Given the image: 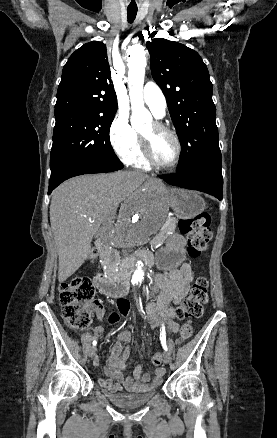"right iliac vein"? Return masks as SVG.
<instances>
[{"label": "right iliac vein", "mask_w": 277, "mask_h": 438, "mask_svg": "<svg viewBox=\"0 0 277 438\" xmlns=\"http://www.w3.org/2000/svg\"><path fill=\"white\" fill-rule=\"evenodd\" d=\"M95 353H96V347L95 346H91L89 348V350H88L89 357L92 358L95 355Z\"/></svg>", "instance_id": "obj_1"}]
</instances>
